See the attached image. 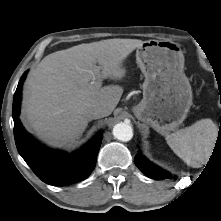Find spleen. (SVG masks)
I'll return each instance as SVG.
<instances>
[{
  "label": "spleen",
  "instance_id": "spleen-1",
  "mask_svg": "<svg viewBox=\"0 0 221 221\" xmlns=\"http://www.w3.org/2000/svg\"><path fill=\"white\" fill-rule=\"evenodd\" d=\"M218 133L217 125L209 118L167 134L166 141L173 152L187 165L199 168L209 160Z\"/></svg>",
  "mask_w": 221,
  "mask_h": 221
}]
</instances>
